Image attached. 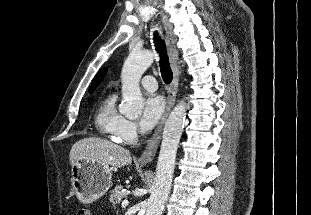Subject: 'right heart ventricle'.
I'll return each mask as SVG.
<instances>
[{"label":"right heart ventricle","instance_id":"right-heart-ventricle-1","mask_svg":"<svg viewBox=\"0 0 311 215\" xmlns=\"http://www.w3.org/2000/svg\"><path fill=\"white\" fill-rule=\"evenodd\" d=\"M116 99V95H110L102 102L96 113L95 124L102 135L118 142V129L125 118L116 108Z\"/></svg>","mask_w":311,"mask_h":215}]
</instances>
